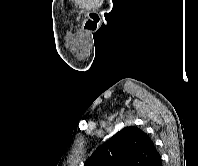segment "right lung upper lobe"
Returning <instances> with one entry per match:
<instances>
[{"label": "right lung upper lobe", "mask_w": 198, "mask_h": 166, "mask_svg": "<svg viewBox=\"0 0 198 166\" xmlns=\"http://www.w3.org/2000/svg\"><path fill=\"white\" fill-rule=\"evenodd\" d=\"M159 156L150 137L129 126L99 146L84 166H150Z\"/></svg>", "instance_id": "1"}]
</instances>
